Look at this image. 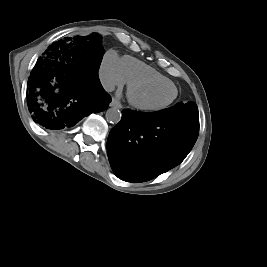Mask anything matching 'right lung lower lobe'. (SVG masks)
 I'll list each match as a JSON object with an SVG mask.
<instances>
[{"mask_svg":"<svg viewBox=\"0 0 267 267\" xmlns=\"http://www.w3.org/2000/svg\"><path fill=\"white\" fill-rule=\"evenodd\" d=\"M98 63L67 44L49 49L28 79L27 105L34 122L58 130L107 109L111 97L98 78Z\"/></svg>","mask_w":267,"mask_h":267,"instance_id":"obj_1","label":"right lung lower lobe"}]
</instances>
